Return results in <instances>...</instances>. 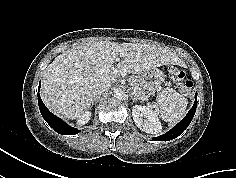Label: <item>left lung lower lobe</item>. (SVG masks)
Here are the masks:
<instances>
[{
	"label": "left lung lower lobe",
	"instance_id": "0a47b994",
	"mask_svg": "<svg viewBox=\"0 0 236 178\" xmlns=\"http://www.w3.org/2000/svg\"><path fill=\"white\" fill-rule=\"evenodd\" d=\"M197 108V93L195 95V102L193 107L190 109V111L187 113V115L184 117L183 120H181L174 128H172L170 131L167 133L153 138L155 141H168L172 140L176 137H178L191 123L193 116L196 112Z\"/></svg>",
	"mask_w": 236,
	"mask_h": 178
}]
</instances>
